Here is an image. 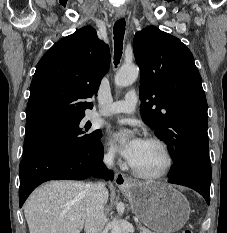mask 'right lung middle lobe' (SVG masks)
Returning <instances> with one entry per match:
<instances>
[{
    "instance_id": "obj_1",
    "label": "right lung middle lobe",
    "mask_w": 227,
    "mask_h": 233,
    "mask_svg": "<svg viewBox=\"0 0 227 233\" xmlns=\"http://www.w3.org/2000/svg\"><path fill=\"white\" fill-rule=\"evenodd\" d=\"M91 123L82 118L28 134L24 140L23 157L51 148H74L84 150L102 137L100 130L91 131Z\"/></svg>"
}]
</instances>
